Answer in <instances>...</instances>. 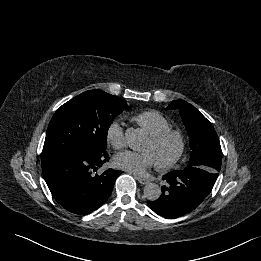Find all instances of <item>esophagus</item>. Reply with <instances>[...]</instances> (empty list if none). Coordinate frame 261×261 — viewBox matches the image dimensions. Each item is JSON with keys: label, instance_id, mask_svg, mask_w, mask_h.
Wrapping results in <instances>:
<instances>
[{"label": "esophagus", "instance_id": "34e87169", "mask_svg": "<svg viewBox=\"0 0 261 261\" xmlns=\"http://www.w3.org/2000/svg\"><path fill=\"white\" fill-rule=\"evenodd\" d=\"M136 179H137V181L139 182V183H141V184H147L148 182H149V180L148 179H146V178H142V177H138V176H136L135 177Z\"/></svg>", "mask_w": 261, "mask_h": 261}]
</instances>
